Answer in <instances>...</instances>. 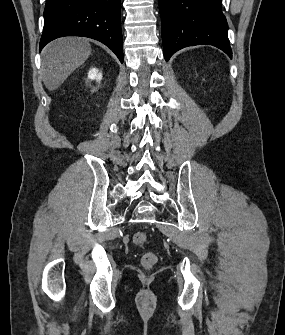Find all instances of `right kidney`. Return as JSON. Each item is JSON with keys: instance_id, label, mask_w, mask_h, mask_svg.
I'll use <instances>...</instances> for the list:
<instances>
[{"instance_id": "obj_1", "label": "right kidney", "mask_w": 285, "mask_h": 335, "mask_svg": "<svg viewBox=\"0 0 285 335\" xmlns=\"http://www.w3.org/2000/svg\"><path fill=\"white\" fill-rule=\"evenodd\" d=\"M88 80H97V82H100V80H102V74H99V70L93 68L88 74Z\"/></svg>"}]
</instances>
